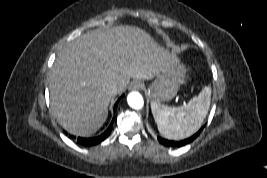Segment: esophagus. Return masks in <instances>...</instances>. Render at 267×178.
<instances>
[{"instance_id":"34e87169","label":"esophagus","mask_w":267,"mask_h":178,"mask_svg":"<svg viewBox=\"0 0 267 178\" xmlns=\"http://www.w3.org/2000/svg\"><path fill=\"white\" fill-rule=\"evenodd\" d=\"M143 88V84L140 81H133L130 84L131 90H141Z\"/></svg>"}]
</instances>
